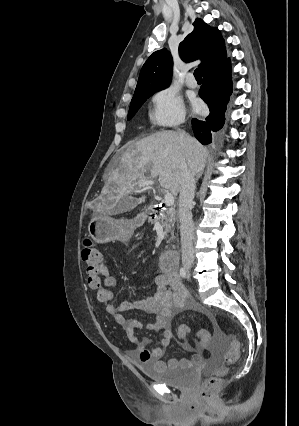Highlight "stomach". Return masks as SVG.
Segmentation results:
<instances>
[{
  "label": "stomach",
  "instance_id": "stomach-1",
  "mask_svg": "<svg viewBox=\"0 0 299 426\" xmlns=\"http://www.w3.org/2000/svg\"><path fill=\"white\" fill-rule=\"evenodd\" d=\"M133 229L132 222L102 213L94 215L88 224L89 236L102 244L114 240L125 241L131 236Z\"/></svg>",
  "mask_w": 299,
  "mask_h": 426
}]
</instances>
